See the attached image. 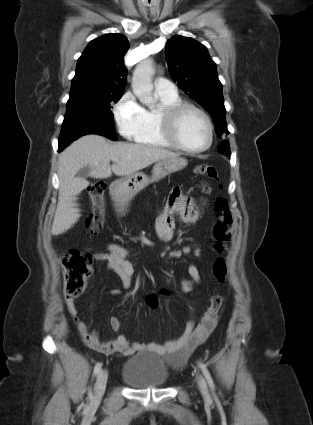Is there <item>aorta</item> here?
<instances>
[{"label": "aorta", "instance_id": "obj_1", "mask_svg": "<svg viewBox=\"0 0 313 425\" xmlns=\"http://www.w3.org/2000/svg\"><path fill=\"white\" fill-rule=\"evenodd\" d=\"M153 74V61L151 59H145L136 66L131 83L132 90L138 100L149 108L155 106V100L152 93Z\"/></svg>", "mask_w": 313, "mask_h": 425}]
</instances>
